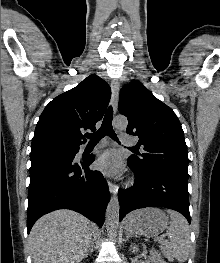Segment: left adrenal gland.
<instances>
[{
	"label": "left adrenal gland",
	"mask_w": 220,
	"mask_h": 263,
	"mask_svg": "<svg viewBox=\"0 0 220 263\" xmlns=\"http://www.w3.org/2000/svg\"><path fill=\"white\" fill-rule=\"evenodd\" d=\"M125 235H126L127 240H128V239L130 238V236H131L127 231L125 232Z\"/></svg>",
	"instance_id": "a2214340"
}]
</instances>
